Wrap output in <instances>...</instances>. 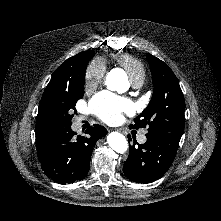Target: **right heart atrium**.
I'll use <instances>...</instances> for the list:
<instances>
[{"instance_id": "1", "label": "right heart atrium", "mask_w": 221, "mask_h": 221, "mask_svg": "<svg viewBox=\"0 0 221 221\" xmlns=\"http://www.w3.org/2000/svg\"><path fill=\"white\" fill-rule=\"evenodd\" d=\"M104 75V63L99 59L92 60L84 73V88L87 91L95 89L102 82Z\"/></svg>"}]
</instances>
